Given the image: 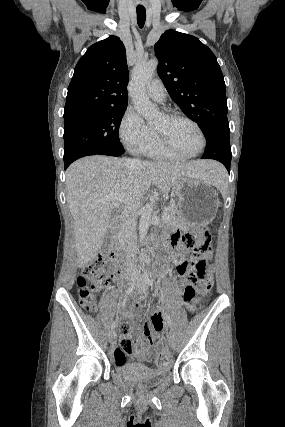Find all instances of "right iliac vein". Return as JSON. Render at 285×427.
<instances>
[{"label": "right iliac vein", "mask_w": 285, "mask_h": 427, "mask_svg": "<svg viewBox=\"0 0 285 427\" xmlns=\"http://www.w3.org/2000/svg\"><path fill=\"white\" fill-rule=\"evenodd\" d=\"M116 338V332L115 331H111L108 335V339L110 342H113L114 339Z\"/></svg>", "instance_id": "1"}]
</instances>
